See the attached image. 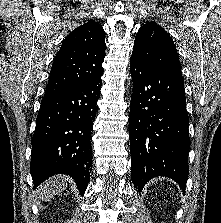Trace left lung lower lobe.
Listing matches in <instances>:
<instances>
[{"label": "left lung lower lobe", "mask_w": 221, "mask_h": 223, "mask_svg": "<svg viewBox=\"0 0 221 223\" xmlns=\"http://www.w3.org/2000/svg\"><path fill=\"white\" fill-rule=\"evenodd\" d=\"M130 71L132 182L141 191L152 178L165 176L176 181L184 192L190 148L184 79L153 69L134 57Z\"/></svg>", "instance_id": "1"}]
</instances>
